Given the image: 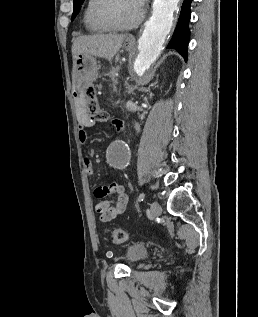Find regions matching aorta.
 <instances>
[{"instance_id": "1", "label": "aorta", "mask_w": 258, "mask_h": 317, "mask_svg": "<svg viewBox=\"0 0 258 317\" xmlns=\"http://www.w3.org/2000/svg\"><path fill=\"white\" fill-rule=\"evenodd\" d=\"M179 0H154L152 16L146 22L144 31L138 40V55L134 62V72L143 76L146 70L160 55L166 36L173 25V13ZM107 159L116 169H124L129 162L127 144L122 140L111 143Z\"/></svg>"}]
</instances>
